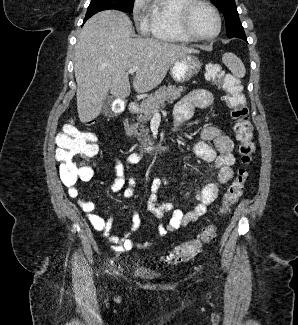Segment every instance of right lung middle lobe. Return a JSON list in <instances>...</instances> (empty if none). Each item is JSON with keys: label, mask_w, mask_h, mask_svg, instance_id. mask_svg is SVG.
<instances>
[{"label": "right lung middle lobe", "mask_w": 298, "mask_h": 325, "mask_svg": "<svg viewBox=\"0 0 298 325\" xmlns=\"http://www.w3.org/2000/svg\"><path fill=\"white\" fill-rule=\"evenodd\" d=\"M134 0H92L86 13V18H90L99 11L116 9L126 13H132Z\"/></svg>", "instance_id": "obj_1"}]
</instances>
